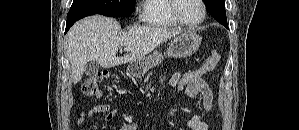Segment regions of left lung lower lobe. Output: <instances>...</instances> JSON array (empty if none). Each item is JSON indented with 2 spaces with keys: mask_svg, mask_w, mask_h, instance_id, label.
I'll return each mask as SVG.
<instances>
[{
  "mask_svg": "<svg viewBox=\"0 0 299 130\" xmlns=\"http://www.w3.org/2000/svg\"><path fill=\"white\" fill-rule=\"evenodd\" d=\"M221 24H223L226 28H228V24H227V22H226V23L223 22V23H221Z\"/></svg>",
  "mask_w": 299,
  "mask_h": 130,
  "instance_id": "0a47b994",
  "label": "left lung lower lobe"
}]
</instances>
